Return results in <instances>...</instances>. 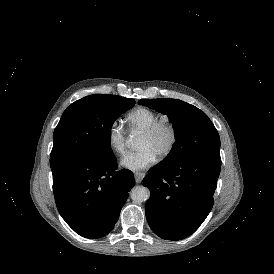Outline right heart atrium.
I'll return each mask as SVG.
<instances>
[{"mask_svg":"<svg viewBox=\"0 0 274 274\" xmlns=\"http://www.w3.org/2000/svg\"><path fill=\"white\" fill-rule=\"evenodd\" d=\"M106 140L112 151L116 153L123 152L126 145V134L122 126L111 123L107 129Z\"/></svg>","mask_w":274,"mask_h":274,"instance_id":"1","label":"right heart atrium"}]
</instances>
